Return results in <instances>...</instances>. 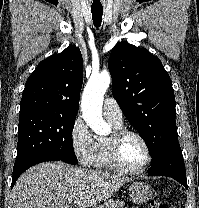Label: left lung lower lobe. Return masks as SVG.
I'll return each mask as SVG.
<instances>
[{"label": "left lung lower lobe", "mask_w": 199, "mask_h": 208, "mask_svg": "<svg viewBox=\"0 0 199 208\" xmlns=\"http://www.w3.org/2000/svg\"><path fill=\"white\" fill-rule=\"evenodd\" d=\"M149 176H168L174 178L185 188L187 186L186 171L179 143L168 148L148 171Z\"/></svg>", "instance_id": "0a47b994"}]
</instances>
